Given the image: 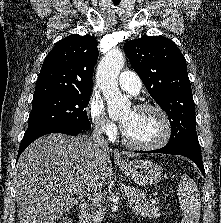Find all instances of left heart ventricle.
<instances>
[{"instance_id": "b2bd125f", "label": "left heart ventricle", "mask_w": 221, "mask_h": 223, "mask_svg": "<svg viewBox=\"0 0 221 223\" xmlns=\"http://www.w3.org/2000/svg\"><path fill=\"white\" fill-rule=\"evenodd\" d=\"M120 121L126 136L136 143H154L164 131L162 118L151 110H126L121 115Z\"/></svg>"}]
</instances>
